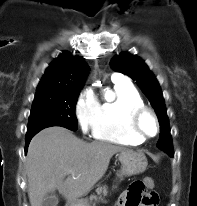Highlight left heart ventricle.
Returning <instances> with one entry per match:
<instances>
[{
	"label": "left heart ventricle",
	"mask_w": 197,
	"mask_h": 206,
	"mask_svg": "<svg viewBox=\"0 0 197 206\" xmlns=\"http://www.w3.org/2000/svg\"><path fill=\"white\" fill-rule=\"evenodd\" d=\"M142 129L146 134L152 135L155 132V124L150 116L144 117L141 123Z\"/></svg>",
	"instance_id": "1"
}]
</instances>
